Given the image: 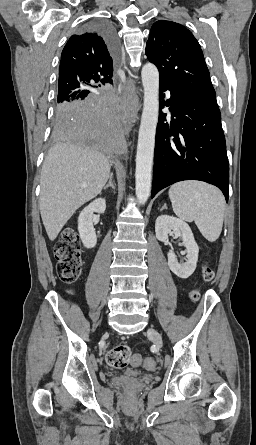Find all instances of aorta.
Returning <instances> with one entry per match:
<instances>
[{"mask_svg":"<svg viewBox=\"0 0 256 445\" xmlns=\"http://www.w3.org/2000/svg\"><path fill=\"white\" fill-rule=\"evenodd\" d=\"M141 76L144 104L137 144L135 190L139 204H145L151 192L155 134L159 115V72L154 64L147 63L142 67Z\"/></svg>","mask_w":256,"mask_h":445,"instance_id":"obj_1","label":"aorta"}]
</instances>
